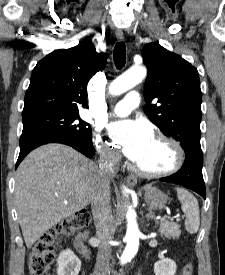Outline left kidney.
I'll list each match as a JSON object with an SVG mask.
<instances>
[{"instance_id":"obj_1","label":"left kidney","mask_w":225,"mask_h":275,"mask_svg":"<svg viewBox=\"0 0 225 275\" xmlns=\"http://www.w3.org/2000/svg\"><path fill=\"white\" fill-rule=\"evenodd\" d=\"M176 269V263L169 258H163L154 264L155 275H175Z\"/></svg>"}]
</instances>
